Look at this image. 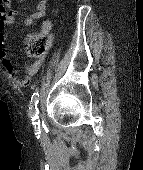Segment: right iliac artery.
I'll list each match as a JSON object with an SVG mask.
<instances>
[{
  "instance_id": "right-iliac-artery-1",
  "label": "right iliac artery",
  "mask_w": 143,
  "mask_h": 170,
  "mask_svg": "<svg viewBox=\"0 0 143 170\" xmlns=\"http://www.w3.org/2000/svg\"><path fill=\"white\" fill-rule=\"evenodd\" d=\"M39 102V93L36 92L32 95L31 97V103H30V107H29V114L32 118V124L35 126H39V121H38V114H39V110L37 108V104Z\"/></svg>"
}]
</instances>
